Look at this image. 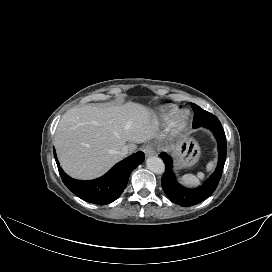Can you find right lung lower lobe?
<instances>
[{
  "mask_svg": "<svg viewBox=\"0 0 272 272\" xmlns=\"http://www.w3.org/2000/svg\"><path fill=\"white\" fill-rule=\"evenodd\" d=\"M54 157L62 181L71 192L84 201L105 205L115 201L122 194L130 173L143 162L145 155L141 151L134 153L113 166L104 176L89 181L69 177L60 167L55 150Z\"/></svg>",
  "mask_w": 272,
  "mask_h": 272,
  "instance_id": "obj_1",
  "label": "right lung lower lobe"
}]
</instances>
